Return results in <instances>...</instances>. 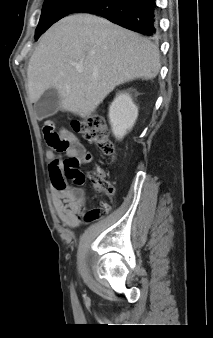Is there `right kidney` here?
<instances>
[{
    "mask_svg": "<svg viewBox=\"0 0 213 338\" xmlns=\"http://www.w3.org/2000/svg\"><path fill=\"white\" fill-rule=\"evenodd\" d=\"M108 116L113 135L122 139L133 128L138 107L128 93H120L111 103Z\"/></svg>",
    "mask_w": 213,
    "mask_h": 338,
    "instance_id": "obj_1",
    "label": "right kidney"
}]
</instances>
